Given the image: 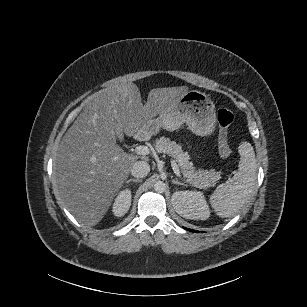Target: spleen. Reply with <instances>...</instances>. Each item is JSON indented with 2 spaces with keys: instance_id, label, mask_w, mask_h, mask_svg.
I'll return each instance as SVG.
<instances>
[{
  "instance_id": "3e777b00",
  "label": "spleen",
  "mask_w": 307,
  "mask_h": 307,
  "mask_svg": "<svg viewBox=\"0 0 307 307\" xmlns=\"http://www.w3.org/2000/svg\"><path fill=\"white\" fill-rule=\"evenodd\" d=\"M238 170L232 178L220 184L209 200L218 216L225 218L237 212L250 199L256 187L257 164L255 152L249 142H242Z\"/></svg>"
}]
</instances>
